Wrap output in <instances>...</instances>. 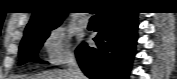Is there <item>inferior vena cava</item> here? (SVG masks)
<instances>
[{"label":"inferior vena cava","mask_w":177,"mask_h":79,"mask_svg":"<svg viewBox=\"0 0 177 79\" xmlns=\"http://www.w3.org/2000/svg\"><path fill=\"white\" fill-rule=\"evenodd\" d=\"M67 71L70 79H85L82 71L80 70L74 54H70L67 60Z\"/></svg>","instance_id":"inferior-vena-cava-1"}]
</instances>
